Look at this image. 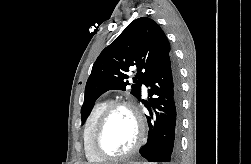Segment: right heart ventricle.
Masks as SVG:
<instances>
[{"label":"right heart ventricle","mask_w":251,"mask_h":164,"mask_svg":"<svg viewBox=\"0 0 251 164\" xmlns=\"http://www.w3.org/2000/svg\"><path fill=\"white\" fill-rule=\"evenodd\" d=\"M107 105H108L107 101H102L95 104L92 110L90 111L88 117L86 118L83 128V142H84L85 155L87 160L93 164H99L103 162L102 159H100L93 153L91 148V138L96 122L100 117V115L102 114V112L104 111V109L107 107Z\"/></svg>","instance_id":"right-heart-ventricle-1"}]
</instances>
